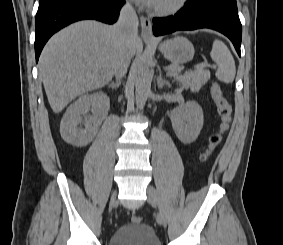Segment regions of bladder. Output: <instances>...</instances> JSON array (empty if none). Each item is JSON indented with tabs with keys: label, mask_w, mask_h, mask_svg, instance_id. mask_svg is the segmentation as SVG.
<instances>
[{
	"label": "bladder",
	"mask_w": 283,
	"mask_h": 245,
	"mask_svg": "<svg viewBox=\"0 0 283 245\" xmlns=\"http://www.w3.org/2000/svg\"><path fill=\"white\" fill-rule=\"evenodd\" d=\"M108 245H161L154 229L145 223L125 224L117 228Z\"/></svg>",
	"instance_id": "31cf9c89"
}]
</instances>
